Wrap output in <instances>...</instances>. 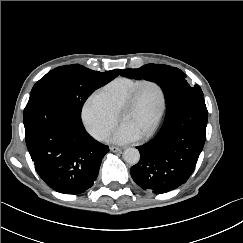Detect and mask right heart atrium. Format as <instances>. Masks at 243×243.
I'll return each mask as SVG.
<instances>
[{
    "label": "right heart atrium",
    "instance_id": "d8ad5b80",
    "mask_svg": "<svg viewBox=\"0 0 243 243\" xmlns=\"http://www.w3.org/2000/svg\"><path fill=\"white\" fill-rule=\"evenodd\" d=\"M81 118L87 131L98 140L106 139L117 123V115L97 92L83 104Z\"/></svg>",
    "mask_w": 243,
    "mask_h": 243
}]
</instances>
